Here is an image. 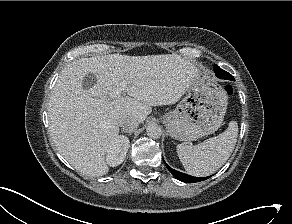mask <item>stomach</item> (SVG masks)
<instances>
[{"instance_id": "stomach-1", "label": "stomach", "mask_w": 292, "mask_h": 224, "mask_svg": "<svg viewBox=\"0 0 292 224\" xmlns=\"http://www.w3.org/2000/svg\"><path fill=\"white\" fill-rule=\"evenodd\" d=\"M227 104V94L217 80L198 70L186 96L173 111L165 114L163 121L172 138L194 141L219 129Z\"/></svg>"}]
</instances>
